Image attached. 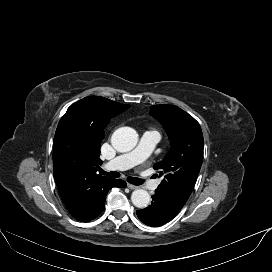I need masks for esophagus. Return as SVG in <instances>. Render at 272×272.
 <instances>
[{
	"instance_id": "obj_1",
	"label": "esophagus",
	"mask_w": 272,
	"mask_h": 272,
	"mask_svg": "<svg viewBox=\"0 0 272 272\" xmlns=\"http://www.w3.org/2000/svg\"><path fill=\"white\" fill-rule=\"evenodd\" d=\"M127 187H128V188H130V189H132V190H134V189H137V188H138V186L133 185V184H130V183H127Z\"/></svg>"
}]
</instances>
